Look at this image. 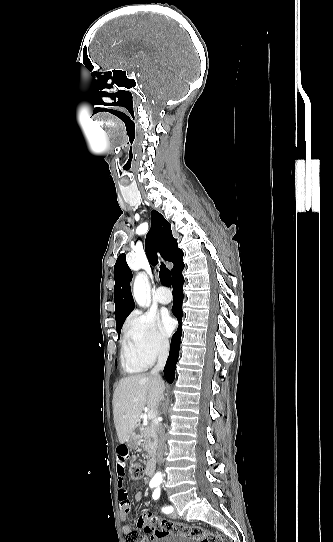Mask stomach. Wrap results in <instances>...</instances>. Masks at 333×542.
I'll return each instance as SVG.
<instances>
[{"label":"stomach","instance_id":"0dacf381","mask_svg":"<svg viewBox=\"0 0 333 542\" xmlns=\"http://www.w3.org/2000/svg\"><path fill=\"white\" fill-rule=\"evenodd\" d=\"M129 448H138V446H140V442H141V436H140V432H136V430H134V432H132V434H130L128 440H126Z\"/></svg>","mask_w":333,"mask_h":542}]
</instances>
